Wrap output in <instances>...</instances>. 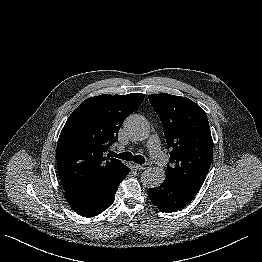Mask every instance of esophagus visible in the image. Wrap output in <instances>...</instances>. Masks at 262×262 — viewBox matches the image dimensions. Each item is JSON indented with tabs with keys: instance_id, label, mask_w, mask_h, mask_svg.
<instances>
[{
	"instance_id": "1",
	"label": "esophagus",
	"mask_w": 262,
	"mask_h": 262,
	"mask_svg": "<svg viewBox=\"0 0 262 262\" xmlns=\"http://www.w3.org/2000/svg\"><path fill=\"white\" fill-rule=\"evenodd\" d=\"M135 168L138 170H147L151 168V165L149 163H145L143 165L135 164Z\"/></svg>"
}]
</instances>
